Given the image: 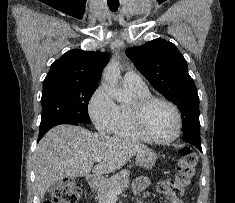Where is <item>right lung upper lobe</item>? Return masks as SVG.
Here are the masks:
<instances>
[{
	"instance_id": "cb5924a9",
	"label": "right lung upper lobe",
	"mask_w": 235,
	"mask_h": 203,
	"mask_svg": "<svg viewBox=\"0 0 235 203\" xmlns=\"http://www.w3.org/2000/svg\"><path fill=\"white\" fill-rule=\"evenodd\" d=\"M109 61L104 52L83 51L73 49L52 63L43 87L57 84H95Z\"/></svg>"
}]
</instances>
